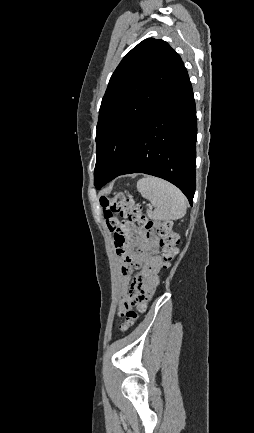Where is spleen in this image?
Listing matches in <instances>:
<instances>
[{"label":"spleen","instance_id":"spleen-1","mask_svg":"<svg viewBox=\"0 0 254 433\" xmlns=\"http://www.w3.org/2000/svg\"><path fill=\"white\" fill-rule=\"evenodd\" d=\"M137 189L151 202L154 210H147L150 219L169 221L182 218L187 209L186 198L183 193L171 183L157 178L144 177L137 182Z\"/></svg>","mask_w":254,"mask_h":433}]
</instances>
